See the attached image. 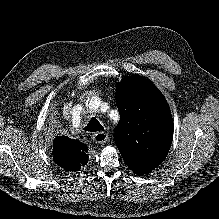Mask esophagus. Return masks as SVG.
I'll use <instances>...</instances> for the list:
<instances>
[{
	"instance_id": "esophagus-1",
	"label": "esophagus",
	"mask_w": 219,
	"mask_h": 219,
	"mask_svg": "<svg viewBox=\"0 0 219 219\" xmlns=\"http://www.w3.org/2000/svg\"><path fill=\"white\" fill-rule=\"evenodd\" d=\"M93 140L95 141V143L103 145L108 140V135L105 132H97L96 134H94Z\"/></svg>"
}]
</instances>
